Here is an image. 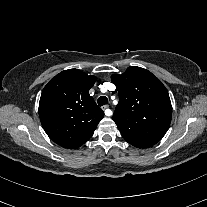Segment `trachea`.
Segmentation results:
<instances>
[{
  "label": "trachea",
  "mask_w": 207,
  "mask_h": 207,
  "mask_svg": "<svg viewBox=\"0 0 207 207\" xmlns=\"http://www.w3.org/2000/svg\"><path fill=\"white\" fill-rule=\"evenodd\" d=\"M98 105L99 106H103V105H106V104H108V99H107V97H105V96H100L99 98H98Z\"/></svg>",
  "instance_id": "obj_1"
}]
</instances>
